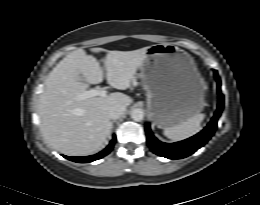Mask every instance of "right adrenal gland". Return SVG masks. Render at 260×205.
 Instances as JSON below:
<instances>
[{"mask_svg":"<svg viewBox=\"0 0 260 205\" xmlns=\"http://www.w3.org/2000/svg\"><path fill=\"white\" fill-rule=\"evenodd\" d=\"M114 122H115V121L112 122V128H113V123H114Z\"/></svg>","mask_w":260,"mask_h":205,"instance_id":"1","label":"right adrenal gland"}]
</instances>
